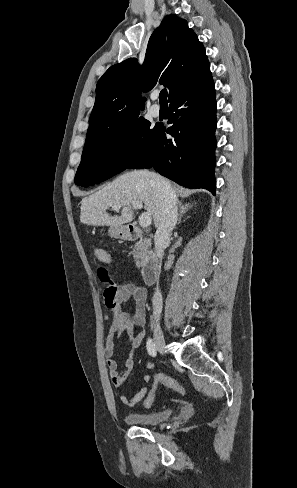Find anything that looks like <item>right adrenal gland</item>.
I'll use <instances>...</instances> for the list:
<instances>
[{
    "mask_svg": "<svg viewBox=\"0 0 297 488\" xmlns=\"http://www.w3.org/2000/svg\"><path fill=\"white\" fill-rule=\"evenodd\" d=\"M178 207H179V217H178V220H177V224H180L181 222V218L183 216V214L188 211V209H190L192 207V204L188 203V204H182V202H179L178 203Z\"/></svg>",
    "mask_w": 297,
    "mask_h": 488,
    "instance_id": "obj_1",
    "label": "right adrenal gland"
}]
</instances>
